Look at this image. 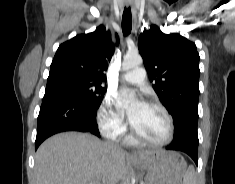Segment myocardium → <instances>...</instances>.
<instances>
[{"label":"myocardium","mask_w":235,"mask_h":184,"mask_svg":"<svg viewBox=\"0 0 235 184\" xmlns=\"http://www.w3.org/2000/svg\"><path fill=\"white\" fill-rule=\"evenodd\" d=\"M146 106L156 107V108L160 109L165 114V116L168 120V126H169L168 134L164 140L156 142V141H152V140H149L147 138L140 136L136 132V130L134 129V127L132 125L131 126V136H132L133 140L140 142V143H143V144H146V145H149V146H152V147H155V148H162V147L169 145L172 142V140L174 138V134H175V123H174V118H173L172 114L160 102L151 101V102H148L146 104Z\"/></svg>","instance_id":"1"}]
</instances>
